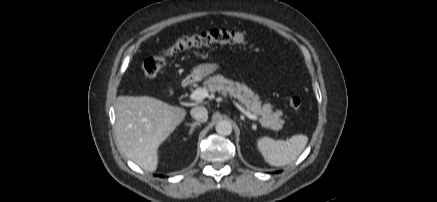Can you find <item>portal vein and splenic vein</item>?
Wrapping results in <instances>:
<instances>
[{
    "instance_id": "portal-vein-and-splenic-vein-1",
    "label": "portal vein and splenic vein",
    "mask_w": 437,
    "mask_h": 202,
    "mask_svg": "<svg viewBox=\"0 0 437 202\" xmlns=\"http://www.w3.org/2000/svg\"><path fill=\"white\" fill-rule=\"evenodd\" d=\"M208 96V91L204 88H199L196 89L195 91H193L190 94V99L193 101H201L203 99H205ZM235 105L237 106V108L244 114L246 115L249 119L252 120H258V117L254 114H252L251 112L245 110L242 106H240L238 103H235Z\"/></svg>"
}]
</instances>
